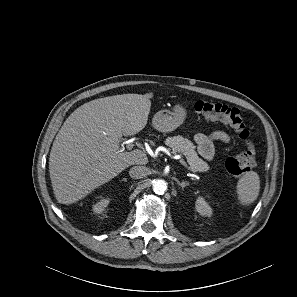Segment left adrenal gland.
Here are the masks:
<instances>
[{
	"label": "left adrenal gland",
	"mask_w": 297,
	"mask_h": 297,
	"mask_svg": "<svg viewBox=\"0 0 297 297\" xmlns=\"http://www.w3.org/2000/svg\"><path fill=\"white\" fill-rule=\"evenodd\" d=\"M177 183H178L179 186H181L182 189L184 187L188 186V182H185V181H183V182L178 181Z\"/></svg>",
	"instance_id": "1"
}]
</instances>
